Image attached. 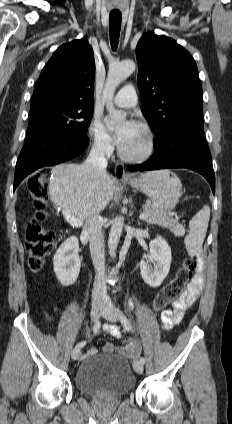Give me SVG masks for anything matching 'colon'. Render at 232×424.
Instances as JSON below:
<instances>
[{
	"instance_id": "5ec220e1",
	"label": "colon",
	"mask_w": 232,
	"mask_h": 424,
	"mask_svg": "<svg viewBox=\"0 0 232 424\" xmlns=\"http://www.w3.org/2000/svg\"><path fill=\"white\" fill-rule=\"evenodd\" d=\"M30 194L34 201L36 212L33 221L28 226L26 232L25 246L28 253V264L32 271H38L47 255L55 245L54 233L46 229L42 223L45 221L47 212L48 194L45 185V178L42 175L31 177L28 182ZM196 266L195 261L190 257H185L177 271L175 277L171 279L155 296L152 307L159 312L172 303L185 289L192 277ZM122 345L128 348L134 347L131 337L125 336Z\"/></svg>"
}]
</instances>
